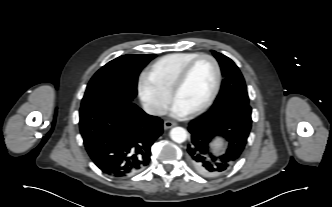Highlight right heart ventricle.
<instances>
[{"label":"right heart ventricle","instance_id":"e07e8e85","mask_svg":"<svg viewBox=\"0 0 332 207\" xmlns=\"http://www.w3.org/2000/svg\"><path fill=\"white\" fill-rule=\"evenodd\" d=\"M198 55L197 52H179L165 55L151 64L146 76L159 88L170 93L181 69Z\"/></svg>","mask_w":332,"mask_h":207}]
</instances>
